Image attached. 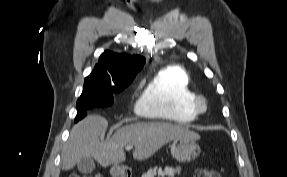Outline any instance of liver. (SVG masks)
Masks as SVG:
<instances>
[{
  "instance_id": "obj_1",
  "label": "liver",
  "mask_w": 287,
  "mask_h": 177,
  "mask_svg": "<svg viewBox=\"0 0 287 177\" xmlns=\"http://www.w3.org/2000/svg\"><path fill=\"white\" fill-rule=\"evenodd\" d=\"M108 127L104 117L90 115L73 126L62 151V169L68 171L83 157H92L102 166L126 160L123 148L135 147L133 158L145 160L166 143L179 138L200 139L188 128L166 122H137L118 129L109 140H101Z\"/></svg>"
}]
</instances>
